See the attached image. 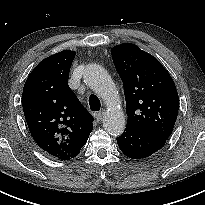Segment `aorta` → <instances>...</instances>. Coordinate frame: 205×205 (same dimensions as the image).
<instances>
[{"label": "aorta", "mask_w": 205, "mask_h": 205, "mask_svg": "<svg viewBox=\"0 0 205 205\" xmlns=\"http://www.w3.org/2000/svg\"><path fill=\"white\" fill-rule=\"evenodd\" d=\"M85 83L106 103L108 109L103 117L104 129L113 136L123 133L126 121L119 107V95L108 72L100 65L90 64L84 72Z\"/></svg>", "instance_id": "1"}]
</instances>
